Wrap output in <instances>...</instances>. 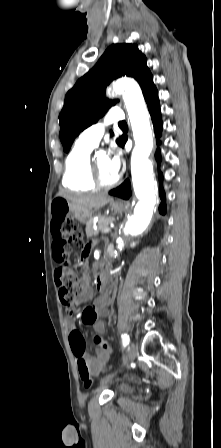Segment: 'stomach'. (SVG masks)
Wrapping results in <instances>:
<instances>
[{
    "mask_svg": "<svg viewBox=\"0 0 221 448\" xmlns=\"http://www.w3.org/2000/svg\"><path fill=\"white\" fill-rule=\"evenodd\" d=\"M67 207H68V211L73 215L74 218H76L80 223L82 224H88L90 222V218H91V212L89 210H79V209H75L73 208V206L68 203L65 202ZM110 208L112 209V211H114L115 213H121L123 212L126 208L127 205L124 202H120V201H111L110 202Z\"/></svg>",
    "mask_w": 221,
    "mask_h": 448,
    "instance_id": "0dacf381",
    "label": "stomach"
}]
</instances>
